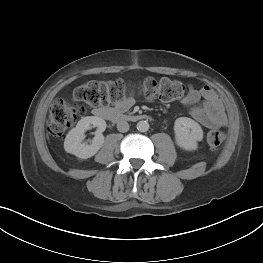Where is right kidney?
<instances>
[{
    "label": "right kidney",
    "mask_w": 263,
    "mask_h": 263,
    "mask_svg": "<svg viewBox=\"0 0 263 263\" xmlns=\"http://www.w3.org/2000/svg\"><path fill=\"white\" fill-rule=\"evenodd\" d=\"M97 127L95 137L91 144H85L82 140L85 138V131L90 126ZM106 129V122L97 116H87L82 118L75 128L71 129L66 135L64 149L66 152L75 155L81 159H87L94 156L104 143L103 132Z\"/></svg>",
    "instance_id": "ca27d5eb"
}]
</instances>
